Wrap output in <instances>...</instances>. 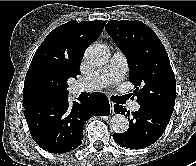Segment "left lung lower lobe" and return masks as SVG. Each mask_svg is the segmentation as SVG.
Returning a JSON list of instances; mask_svg holds the SVG:
<instances>
[{"label": "left lung lower lobe", "instance_id": "0a47b994", "mask_svg": "<svg viewBox=\"0 0 196 166\" xmlns=\"http://www.w3.org/2000/svg\"><path fill=\"white\" fill-rule=\"evenodd\" d=\"M114 111L117 114H125L129 117L124 106L115 104ZM172 113L165 110L141 106L133 112L129 128L124 133H114L113 138L119 145L131 149H143L156 142L163 134Z\"/></svg>", "mask_w": 196, "mask_h": 166}]
</instances>
